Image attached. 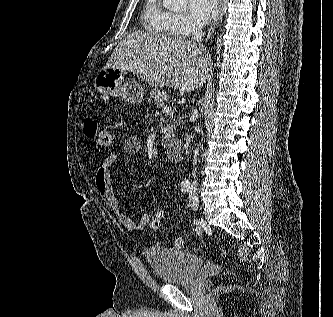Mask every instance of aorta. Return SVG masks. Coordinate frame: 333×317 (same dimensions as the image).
I'll list each match as a JSON object with an SVG mask.
<instances>
[{
    "instance_id": "762f6f07",
    "label": "aorta",
    "mask_w": 333,
    "mask_h": 317,
    "mask_svg": "<svg viewBox=\"0 0 333 317\" xmlns=\"http://www.w3.org/2000/svg\"><path fill=\"white\" fill-rule=\"evenodd\" d=\"M188 0H163L164 5L169 9H180L187 4Z\"/></svg>"
}]
</instances>
